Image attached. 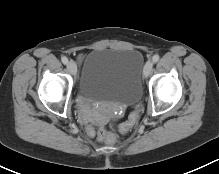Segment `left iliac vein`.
I'll use <instances>...</instances> for the list:
<instances>
[{
  "label": "left iliac vein",
  "instance_id": "obj_1",
  "mask_svg": "<svg viewBox=\"0 0 219 174\" xmlns=\"http://www.w3.org/2000/svg\"><path fill=\"white\" fill-rule=\"evenodd\" d=\"M152 69H153V62L152 61L146 62L143 69V76L147 78L151 74Z\"/></svg>",
  "mask_w": 219,
  "mask_h": 174
}]
</instances>
